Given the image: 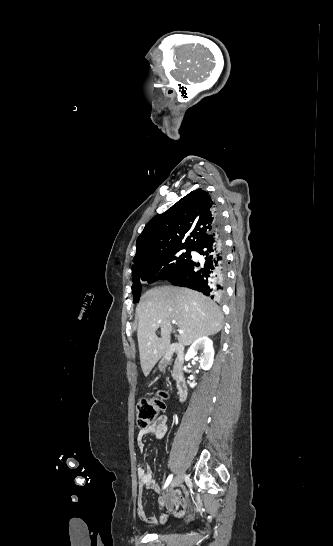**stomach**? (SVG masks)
I'll use <instances>...</instances> for the list:
<instances>
[{
  "instance_id": "1",
  "label": "stomach",
  "mask_w": 333,
  "mask_h": 546,
  "mask_svg": "<svg viewBox=\"0 0 333 546\" xmlns=\"http://www.w3.org/2000/svg\"><path fill=\"white\" fill-rule=\"evenodd\" d=\"M166 365H167V361L164 360V359H162V360L160 361V363H159V369H160L161 371H164Z\"/></svg>"
}]
</instances>
